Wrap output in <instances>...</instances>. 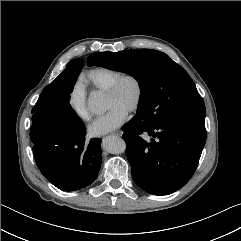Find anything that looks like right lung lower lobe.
I'll list each match as a JSON object with an SVG mask.
<instances>
[{"mask_svg": "<svg viewBox=\"0 0 241 241\" xmlns=\"http://www.w3.org/2000/svg\"><path fill=\"white\" fill-rule=\"evenodd\" d=\"M51 135L36 137L33 154L45 178L64 191H75L89 186L97 178L102 161L101 139L85 142L86 128L81 132H61L55 123Z\"/></svg>", "mask_w": 241, "mask_h": 241, "instance_id": "98d812e1", "label": "right lung lower lobe"}]
</instances>
